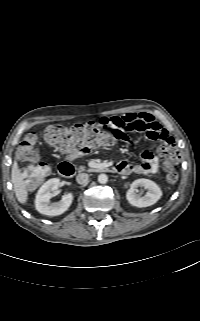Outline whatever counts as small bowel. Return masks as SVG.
<instances>
[{"mask_svg":"<svg viewBox=\"0 0 200 321\" xmlns=\"http://www.w3.org/2000/svg\"><path fill=\"white\" fill-rule=\"evenodd\" d=\"M107 121H114L119 125L125 141L130 142L133 135L144 132L147 141L162 143L159 149L161 153L173 145L172 137L149 113H127L121 117L102 118L100 122ZM70 158H75V155L71 154ZM116 169L122 175H155L159 171V158L151 151H144L139 163L129 164L123 161L116 165Z\"/></svg>","mask_w":200,"mask_h":321,"instance_id":"small-bowel-1","label":"small bowel"}]
</instances>
